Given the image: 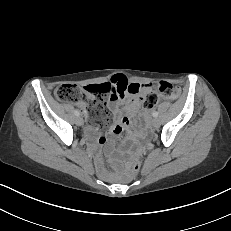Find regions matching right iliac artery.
I'll use <instances>...</instances> for the list:
<instances>
[{
    "label": "right iliac artery",
    "mask_w": 231,
    "mask_h": 231,
    "mask_svg": "<svg viewBox=\"0 0 231 231\" xmlns=\"http://www.w3.org/2000/svg\"><path fill=\"white\" fill-rule=\"evenodd\" d=\"M74 113H75L76 116H79V115H80V112H79L78 110H75Z\"/></svg>",
    "instance_id": "right-iliac-artery-1"
}]
</instances>
